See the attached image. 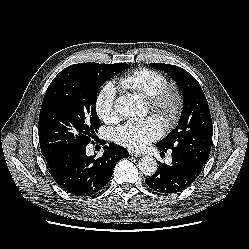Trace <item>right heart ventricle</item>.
<instances>
[{
    "label": "right heart ventricle",
    "instance_id": "obj_1",
    "mask_svg": "<svg viewBox=\"0 0 249 249\" xmlns=\"http://www.w3.org/2000/svg\"><path fill=\"white\" fill-rule=\"evenodd\" d=\"M120 87L149 97L167 85L166 76L154 69L138 68L119 79Z\"/></svg>",
    "mask_w": 249,
    "mask_h": 249
}]
</instances>
